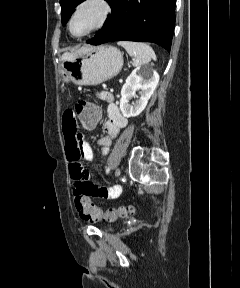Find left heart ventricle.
Returning a JSON list of instances; mask_svg holds the SVG:
<instances>
[{"label": "left heart ventricle", "instance_id": "left-heart-ventricle-1", "mask_svg": "<svg viewBox=\"0 0 240 288\" xmlns=\"http://www.w3.org/2000/svg\"><path fill=\"white\" fill-rule=\"evenodd\" d=\"M100 16L101 9L98 5L89 4L84 6L73 20L72 30L74 34L81 35L88 32L98 23Z\"/></svg>", "mask_w": 240, "mask_h": 288}]
</instances>
